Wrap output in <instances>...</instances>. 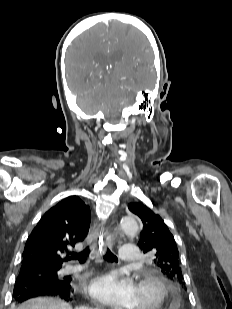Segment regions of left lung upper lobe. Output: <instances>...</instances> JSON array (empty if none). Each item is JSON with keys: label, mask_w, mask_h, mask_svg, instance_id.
<instances>
[{"label": "left lung upper lobe", "mask_w": 232, "mask_h": 309, "mask_svg": "<svg viewBox=\"0 0 232 309\" xmlns=\"http://www.w3.org/2000/svg\"><path fill=\"white\" fill-rule=\"evenodd\" d=\"M129 210L143 223L138 245L169 279L183 283L179 251L173 235L159 215L141 203H130Z\"/></svg>", "instance_id": "1"}]
</instances>
